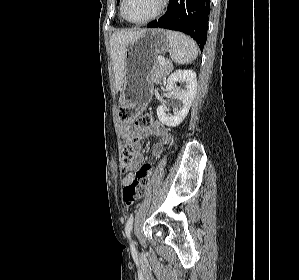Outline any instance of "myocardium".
<instances>
[{"mask_svg":"<svg viewBox=\"0 0 299 280\" xmlns=\"http://www.w3.org/2000/svg\"><path fill=\"white\" fill-rule=\"evenodd\" d=\"M168 0H160L159 6L157 8V10L149 17L143 19V20H139V21H135V20H131L127 14H126V4H127V0H122V4H121V12H122V16L123 18L132 23V24H136V25H142V24H146L149 23L153 20H155L156 18H158L163 11L165 10L166 6H167Z\"/></svg>","mask_w":299,"mask_h":280,"instance_id":"1","label":"myocardium"}]
</instances>
